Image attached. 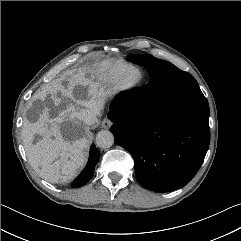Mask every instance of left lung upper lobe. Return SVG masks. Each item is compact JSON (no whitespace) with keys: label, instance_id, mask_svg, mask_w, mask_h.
I'll list each match as a JSON object with an SVG mask.
<instances>
[{"label":"left lung upper lobe","instance_id":"1","mask_svg":"<svg viewBox=\"0 0 241 241\" xmlns=\"http://www.w3.org/2000/svg\"><path fill=\"white\" fill-rule=\"evenodd\" d=\"M127 61L141 65L152 74H161L169 84V90L173 97L184 95L185 93L199 88L197 81L188 72H184L175 67L170 62L157 59L149 54L129 55Z\"/></svg>","mask_w":241,"mask_h":241}]
</instances>
